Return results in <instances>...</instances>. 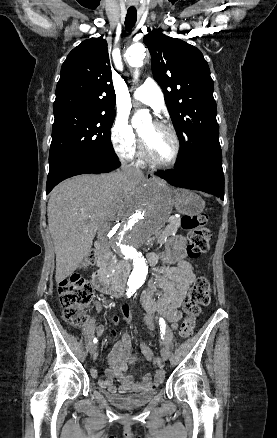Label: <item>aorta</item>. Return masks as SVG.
Returning a JSON list of instances; mask_svg holds the SVG:
<instances>
[{
  "label": "aorta",
  "instance_id": "aorta-1",
  "mask_svg": "<svg viewBox=\"0 0 277 438\" xmlns=\"http://www.w3.org/2000/svg\"><path fill=\"white\" fill-rule=\"evenodd\" d=\"M145 48L134 44L126 51L128 63L135 68L143 65ZM138 70L135 71V78ZM151 116L139 110L132 119L134 127L148 122ZM172 203L167 188L161 183H149L137 189L130 197L119 221L109 233L111 247L130 261L133 270L128 279L127 293L133 294L142 286L148 274V266L141 249L148 239L158 233L171 213Z\"/></svg>",
  "mask_w": 277,
  "mask_h": 438
}]
</instances>
